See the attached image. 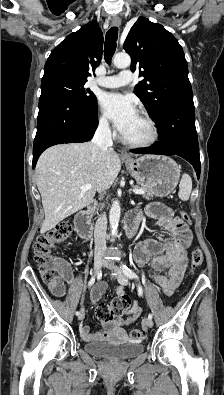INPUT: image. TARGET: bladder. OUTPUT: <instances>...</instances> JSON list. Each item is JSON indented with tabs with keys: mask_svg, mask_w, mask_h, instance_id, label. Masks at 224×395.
<instances>
[{
	"mask_svg": "<svg viewBox=\"0 0 224 395\" xmlns=\"http://www.w3.org/2000/svg\"><path fill=\"white\" fill-rule=\"evenodd\" d=\"M85 350L92 355L111 359L126 360L144 351V344L138 341H96L87 343Z\"/></svg>",
	"mask_w": 224,
	"mask_h": 395,
	"instance_id": "1",
	"label": "bladder"
}]
</instances>
